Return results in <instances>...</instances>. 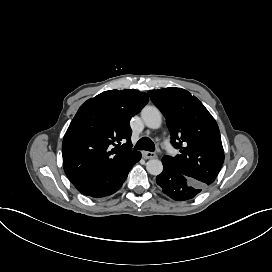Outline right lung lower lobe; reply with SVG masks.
<instances>
[{
    "mask_svg": "<svg viewBox=\"0 0 272 272\" xmlns=\"http://www.w3.org/2000/svg\"><path fill=\"white\" fill-rule=\"evenodd\" d=\"M141 158L138 152L118 166L91 178L79 181L74 186L84 195L102 198L118 191L126 180L132 166Z\"/></svg>",
    "mask_w": 272,
    "mask_h": 272,
    "instance_id": "98d812e1",
    "label": "right lung lower lobe"
}]
</instances>
